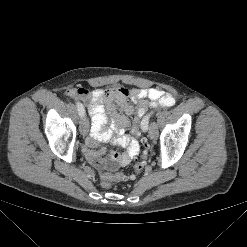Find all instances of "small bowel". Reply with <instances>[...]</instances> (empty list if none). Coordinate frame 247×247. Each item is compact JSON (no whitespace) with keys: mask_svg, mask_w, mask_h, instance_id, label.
Segmentation results:
<instances>
[{"mask_svg":"<svg viewBox=\"0 0 247 247\" xmlns=\"http://www.w3.org/2000/svg\"><path fill=\"white\" fill-rule=\"evenodd\" d=\"M88 90L77 87L66 91V96L75 101H84L92 118L90 135L86 139L84 153L87 160L99 171L116 170L126 166L140 151L136 139L126 133L130 126V117L134 121L142 118L150 106H172L174 97L163 90L150 88ZM111 118L110 127L103 129L108 117ZM112 141L114 145L126 149L123 154L116 151L110 153V158L103 157L104 149L99 145Z\"/></svg>","mask_w":247,"mask_h":247,"instance_id":"small-bowel-1","label":"small bowel"}]
</instances>
